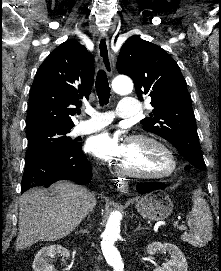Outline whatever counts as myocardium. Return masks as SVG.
I'll return each mask as SVG.
<instances>
[{
    "label": "myocardium",
    "instance_id": "1",
    "mask_svg": "<svg viewBox=\"0 0 221 271\" xmlns=\"http://www.w3.org/2000/svg\"><path fill=\"white\" fill-rule=\"evenodd\" d=\"M160 140L166 139L150 132L129 133V137H127L128 145H131V147H137V150H150L144 154L145 159L151 164H160L162 170L152 171L149 167L146 170H136L134 167L130 170L125 166L127 164L125 161L112 158L111 162L114 164L112 171H118L119 175H126V179L170 177L178 170H175L177 167L172 162L174 160L171 156L172 150H166L164 148L165 142H160Z\"/></svg>",
    "mask_w": 221,
    "mask_h": 271
}]
</instances>
